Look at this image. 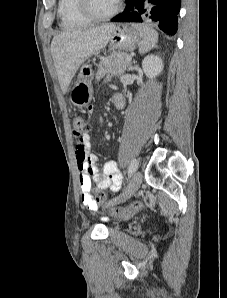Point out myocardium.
<instances>
[{
    "label": "myocardium",
    "mask_w": 227,
    "mask_h": 298,
    "mask_svg": "<svg viewBox=\"0 0 227 298\" xmlns=\"http://www.w3.org/2000/svg\"><path fill=\"white\" fill-rule=\"evenodd\" d=\"M79 8L84 17L91 22H103L116 16L122 9V0H117L115 8L105 15L94 13L91 8L90 0H79Z\"/></svg>",
    "instance_id": "obj_1"
}]
</instances>
